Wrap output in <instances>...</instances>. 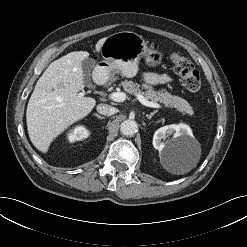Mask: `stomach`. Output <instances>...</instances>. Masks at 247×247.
<instances>
[{
    "label": "stomach",
    "instance_id": "0dacf381",
    "mask_svg": "<svg viewBox=\"0 0 247 247\" xmlns=\"http://www.w3.org/2000/svg\"><path fill=\"white\" fill-rule=\"evenodd\" d=\"M100 61L94 74L108 79L112 72L131 78L138 72V62L145 57L146 64L155 67L161 64L163 54L159 50L149 49L143 37L135 32L122 31L106 37L102 47Z\"/></svg>",
    "mask_w": 247,
    "mask_h": 247
}]
</instances>
